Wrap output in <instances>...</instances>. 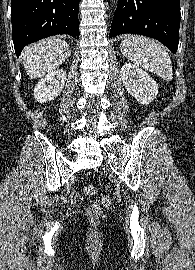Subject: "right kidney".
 I'll return each instance as SVG.
<instances>
[{
  "instance_id": "obj_1",
  "label": "right kidney",
  "mask_w": 195,
  "mask_h": 270,
  "mask_svg": "<svg viewBox=\"0 0 195 270\" xmlns=\"http://www.w3.org/2000/svg\"><path fill=\"white\" fill-rule=\"evenodd\" d=\"M67 75L64 70H55L45 75L34 87V98L45 103L53 100L64 88Z\"/></svg>"
}]
</instances>
